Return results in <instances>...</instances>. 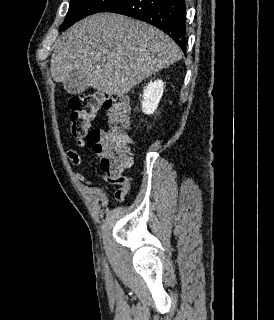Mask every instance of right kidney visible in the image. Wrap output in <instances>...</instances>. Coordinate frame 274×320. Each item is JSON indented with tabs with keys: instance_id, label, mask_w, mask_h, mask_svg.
<instances>
[{
	"instance_id": "right-kidney-1",
	"label": "right kidney",
	"mask_w": 274,
	"mask_h": 320,
	"mask_svg": "<svg viewBox=\"0 0 274 320\" xmlns=\"http://www.w3.org/2000/svg\"><path fill=\"white\" fill-rule=\"evenodd\" d=\"M164 92V82L162 80H154V82H149L143 90L141 96V108L143 114H154L158 104L163 96Z\"/></svg>"
}]
</instances>
